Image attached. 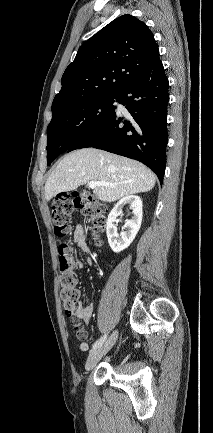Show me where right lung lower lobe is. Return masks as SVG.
<instances>
[{"instance_id":"1","label":"right lung lower lobe","mask_w":213,"mask_h":433,"mask_svg":"<svg viewBox=\"0 0 213 433\" xmlns=\"http://www.w3.org/2000/svg\"><path fill=\"white\" fill-rule=\"evenodd\" d=\"M168 87L158 58L121 94L119 103L131 117L127 119L115 112L104 125L66 151L93 147L136 159L151 168L162 184L168 143Z\"/></svg>"}]
</instances>
